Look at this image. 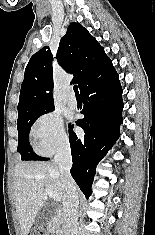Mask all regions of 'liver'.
I'll return each mask as SVG.
<instances>
[{"mask_svg":"<svg viewBox=\"0 0 155 235\" xmlns=\"http://www.w3.org/2000/svg\"><path fill=\"white\" fill-rule=\"evenodd\" d=\"M57 192L61 199L64 189L61 173L54 162H19L14 172L15 208L21 235H28L38 212L45 204V189Z\"/></svg>","mask_w":155,"mask_h":235,"instance_id":"1","label":"liver"}]
</instances>
